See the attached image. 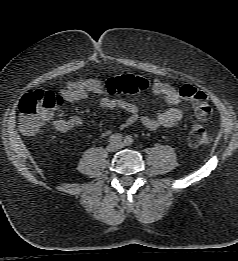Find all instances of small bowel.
<instances>
[{
    "label": "small bowel",
    "instance_id": "small-bowel-1",
    "mask_svg": "<svg viewBox=\"0 0 238 261\" xmlns=\"http://www.w3.org/2000/svg\"><path fill=\"white\" fill-rule=\"evenodd\" d=\"M151 90L154 95L163 98L166 108L157 112L154 117L141 115L137 104L121 97H112L104 90V83L98 79L87 78L78 81H70L56 94L61 101L77 102L88 98L90 95H98V105L102 109L122 110L127 113L121 124L125 129L140 121L146 128L154 130L159 127H174L183 119V111L179 108L182 98L179 92L172 85L158 79L152 80ZM47 121L61 132L81 128L85 125L79 116L68 118H53L51 111L47 116ZM106 131L105 134H108Z\"/></svg>",
    "mask_w": 238,
    "mask_h": 261
}]
</instances>
